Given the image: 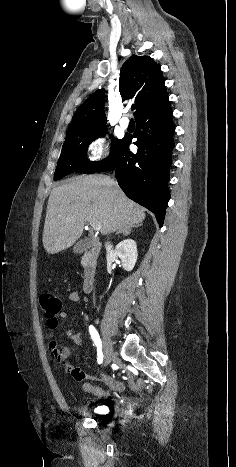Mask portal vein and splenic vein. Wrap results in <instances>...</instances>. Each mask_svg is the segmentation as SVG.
Instances as JSON below:
<instances>
[{
	"instance_id": "18ae733b",
	"label": "portal vein and splenic vein",
	"mask_w": 236,
	"mask_h": 467,
	"mask_svg": "<svg viewBox=\"0 0 236 467\" xmlns=\"http://www.w3.org/2000/svg\"><path fill=\"white\" fill-rule=\"evenodd\" d=\"M90 224L92 225V227L94 228V230H96V231L101 230V227H102L101 223L90 221Z\"/></svg>"
}]
</instances>
